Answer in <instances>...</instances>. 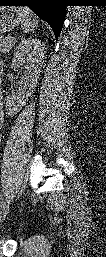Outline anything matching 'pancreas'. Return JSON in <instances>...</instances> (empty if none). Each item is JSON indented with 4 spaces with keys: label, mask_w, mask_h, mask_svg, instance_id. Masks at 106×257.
Segmentation results:
<instances>
[{
    "label": "pancreas",
    "mask_w": 106,
    "mask_h": 257,
    "mask_svg": "<svg viewBox=\"0 0 106 257\" xmlns=\"http://www.w3.org/2000/svg\"><path fill=\"white\" fill-rule=\"evenodd\" d=\"M16 42H17V39L14 38V37H11V36L4 37V36H2L0 38V52L2 54H6L7 52H9L14 47Z\"/></svg>",
    "instance_id": "pancreas-1"
}]
</instances>
